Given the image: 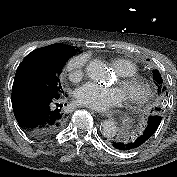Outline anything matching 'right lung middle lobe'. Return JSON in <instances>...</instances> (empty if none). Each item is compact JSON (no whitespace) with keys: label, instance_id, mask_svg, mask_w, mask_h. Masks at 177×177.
<instances>
[{"label":"right lung middle lobe","instance_id":"right-lung-middle-lobe-1","mask_svg":"<svg viewBox=\"0 0 177 177\" xmlns=\"http://www.w3.org/2000/svg\"><path fill=\"white\" fill-rule=\"evenodd\" d=\"M67 60L48 69L25 68L15 75L13 87L50 95H62L60 74Z\"/></svg>","mask_w":177,"mask_h":177}]
</instances>
